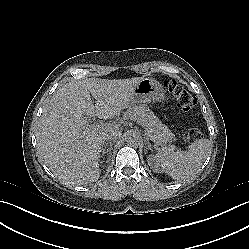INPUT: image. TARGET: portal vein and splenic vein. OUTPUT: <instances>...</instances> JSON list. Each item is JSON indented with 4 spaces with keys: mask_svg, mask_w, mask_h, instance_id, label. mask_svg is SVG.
<instances>
[{
    "mask_svg": "<svg viewBox=\"0 0 249 249\" xmlns=\"http://www.w3.org/2000/svg\"><path fill=\"white\" fill-rule=\"evenodd\" d=\"M96 128H102V125L98 124V125H95Z\"/></svg>",
    "mask_w": 249,
    "mask_h": 249,
    "instance_id": "portal-vein-and-splenic-vein-1",
    "label": "portal vein and splenic vein"
}]
</instances>
